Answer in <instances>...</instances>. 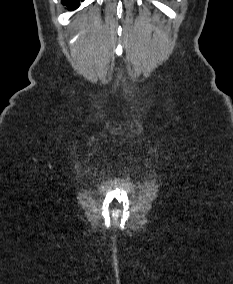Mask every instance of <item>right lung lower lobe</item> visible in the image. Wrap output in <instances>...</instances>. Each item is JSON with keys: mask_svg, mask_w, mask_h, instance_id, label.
Masks as SVG:
<instances>
[{"mask_svg": "<svg viewBox=\"0 0 233 284\" xmlns=\"http://www.w3.org/2000/svg\"><path fill=\"white\" fill-rule=\"evenodd\" d=\"M80 1L84 0H62V4L66 5L68 10H74L79 7Z\"/></svg>", "mask_w": 233, "mask_h": 284, "instance_id": "right-lung-lower-lobe-1", "label": "right lung lower lobe"}]
</instances>
